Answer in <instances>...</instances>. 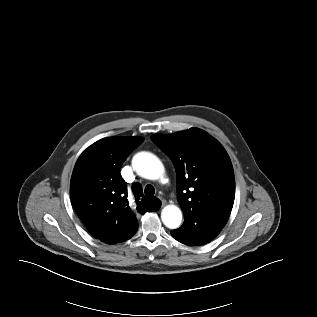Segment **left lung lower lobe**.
I'll return each instance as SVG.
<instances>
[{
	"label": "left lung lower lobe",
	"instance_id": "obj_1",
	"mask_svg": "<svg viewBox=\"0 0 317 317\" xmlns=\"http://www.w3.org/2000/svg\"><path fill=\"white\" fill-rule=\"evenodd\" d=\"M228 218L213 214H197L185 219L183 225L171 231L179 242L189 245H203L213 240L225 226Z\"/></svg>",
	"mask_w": 317,
	"mask_h": 317
}]
</instances>
